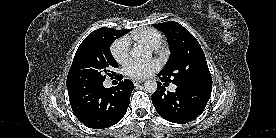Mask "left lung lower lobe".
Listing matches in <instances>:
<instances>
[{
	"instance_id": "0a47b994",
	"label": "left lung lower lobe",
	"mask_w": 276,
	"mask_h": 138,
	"mask_svg": "<svg viewBox=\"0 0 276 138\" xmlns=\"http://www.w3.org/2000/svg\"><path fill=\"white\" fill-rule=\"evenodd\" d=\"M161 82L167 83L158 74ZM161 82H157V90L152 95L153 105L158 114L173 123H187L200 115L211 96L212 87L176 85L175 92L165 93Z\"/></svg>"
}]
</instances>
